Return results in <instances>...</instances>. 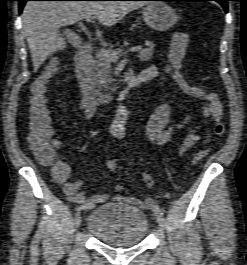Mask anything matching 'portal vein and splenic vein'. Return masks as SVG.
Instances as JSON below:
<instances>
[{"label":"portal vein and splenic vein","instance_id":"obj_1","mask_svg":"<svg viewBox=\"0 0 247 265\" xmlns=\"http://www.w3.org/2000/svg\"><path fill=\"white\" fill-rule=\"evenodd\" d=\"M85 19L87 22H91V16H87V17H85ZM141 49H142V46H135V47L130 48L129 50H127L125 53H122V54L111 53L110 51L106 50L105 55L111 61L116 62L120 58V56H122L128 52H138Z\"/></svg>","mask_w":247,"mask_h":265}]
</instances>
